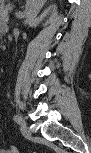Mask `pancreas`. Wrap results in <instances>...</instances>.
<instances>
[{
  "label": "pancreas",
  "mask_w": 91,
  "mask_h": 153,
  "mask_svg": "<svg viewBox=\"0 0 91 153\" xmlns=\"http://www.w3.org/2000/svg\"><path fill=\"white\" fill-rule=\"evenodd\" d=\"M11 8L9 6H6L4 9L1 10V22L5 23L8 21V11Z\"/></svg>",
  "instance_id": "obj_1"
}]
</instances>
